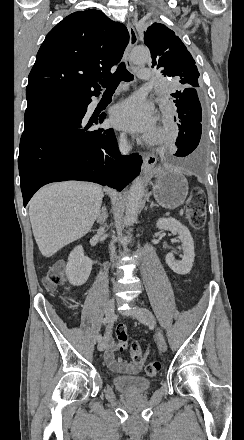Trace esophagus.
<instances>
[{"instance_id": "34e87169", "label": "esophagus", "mask_w": 244, "mask_h": 440, "mask_svg": "<svg viewBox=\"0 0 244 440\" xmlns=\"http://www.w3.org/2000/svg\"><path fill=\"white\" fill-rule=\"evenodd\" d=\"M127 29H128L129 36H130V41H129L127 48L125 49L123 58H124V62H125L126 67L130 68L132 66L131 51H132L133 47H135V45L138 42V36L136 34L134 26L129 21L127 22ZM142 160H143L142 170H143L144 174H147L149 172V170L152 169L156 165V162H157L156 156L152 153H148L146 155H143Z\"/></svg>"}]
</instances>
